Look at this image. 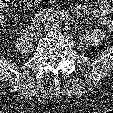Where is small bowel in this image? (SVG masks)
<instances>
[{
  "instance_id": "1",
  "label": "small bowel",
  "mask_w": 113,
  "mask_h": 113,
  "mask_svg": "<svg viewBox=\"0 0 113 113\" xmlns=\"http://www.w3.org/2000/svg\"><path fill=\"white\" fill-rule=\"evenodd\" d=\"M13 1V0H10ZM10 1L0 0L1 5H6ZM17 1V0H14ZM42 0L29 1L21 0L27 8H32L41 3ZM72 11L78 16L87 15L91 17L95 23L101 26H106L107 30L113 34V3L108 0H100L96 6H87L81 3H76L72 6Z\"/></svg>"
}]
</instances>
